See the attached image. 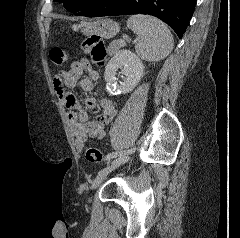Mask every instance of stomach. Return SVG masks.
<instances>
[{"instance_id":"1","label":"stomach","mask_w":240,"mask_h":238,"mask_svg":"<svg viewBox=\"0 0 240 238\" xmlns=\"http://www.w3.org/2000/svg\"><path fill=\"white\" fill-rule=\"evenodd\" d=\"M80 29L84 35H97L105 39L114 37L120 31L119 24L109 18L82 23Z\"/></svg>"}]
</instances>
